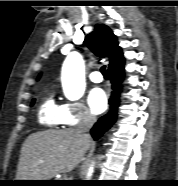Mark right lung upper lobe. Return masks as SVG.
<instances>
[{"label": "right lung upper lobe", "instance_id": "right-lung-upper-lobe-1", "mask_svg": "<svg viewBox=\"0 0 178 186\" xmlns=\"http://www.w3.org/2000/svg\"><path fill=\"white\" fill-rule=\"evenodd\" d=\"M85 44L101 58H108V69L116 68L124 64L125 58L121 47L118 46L116 36L111 29L104 24H97L92 33L87 35Z\"/></svg>", "mask_w": 178, "mask_h": 186}]
</instances>
